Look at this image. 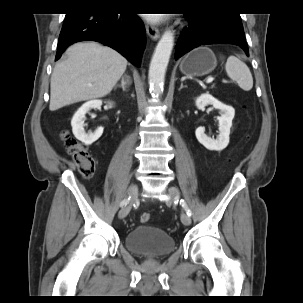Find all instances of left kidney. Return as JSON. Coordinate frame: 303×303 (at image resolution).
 <instances>
[{
    "mask_svg": "<svg viewBox=\"0 0 303 303\" xmlns=\"http://www.w3.org/2000/svg\"><path fill=\"white\" fill-rule=\"evenodd\" d=\"M196 107L202 109L207 105H212L214 108L221 111V116L218 118L219 135L217 139H212L205 134L203 127H198L195 131L197 140L208 150L221 151L229 144L230 128L235 115V110L229 105H225L218 101L209 93L200 95L195 101Z\"/></svg>",
    "mask_w": 303,
    "mask_h": 303,
    "instance_id": "left-kidney-1",
    "label": "left kidney"
}]
</instances>
